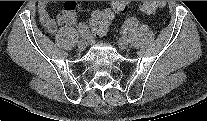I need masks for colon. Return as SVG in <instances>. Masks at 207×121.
Instances as JSON below:
<instances>
[{"mask_svg": "<svg viewBox=\"0 0 207 121\" xmlns=\"http://www.w3.org/2000/svg\"><path fill=\"white\" fill-rule=\"evenodd\" d=\"M164 6L162 1H143L139 5V10L143 14L151 15ZM127 11L125 1H115L111 9L96 10L90 18V25L97 36H102L108 30L114 13L124 14Z\"/></svg>", "mask_w": 207, "mask_h": 121, "instance_id": "colon-1", "label": "colon"}]
</instances>
